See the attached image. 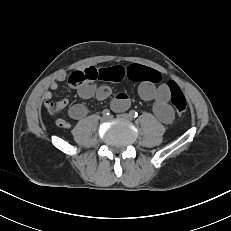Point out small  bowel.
<instances>
[{
	"label": "small bowel",
	"mask_w": 231,
	"mask_h": 231,
	"mask_svg": "<svg viewBox=\"0 0 231 231\" xmlns=\"http://www.w3.org/2000/svg\"><path fill=\"white\" fill-rule=\"evenodd\" d=\"M140 65H132L127 68L123 66L112 67H97L87 66L80 72L84 76V82L78 86V94L83 99H89L95 97L97 100H105L111 94L110 87L104 85L96 87L95 80L104 81H120L125 77H129L133 80L140 82L138 87V93L141 99L144 101H151L153 104V112L156 117L163 123L169 124L174 118L173 109L170 106V91L165 84L156 86L154 83L140 78ZM66 79L65 74H60L57 80L52 81L49 85V89L44 93L45 107L51 111L52 107L56 106L59 109L68 106V99H62L56 103L52 101L53 91L58 89V81H64ZM112 108L115 111H124L130 105L129 97L125 93H119L112 101ZM52 112V111H51ZM88 113L86 106L82 104H75L69 107L68 115L74 120L83 119ZM57 126L61 128H69L71 124L64 120L58 119L56 121Z\"/></svg>",
	"instance_id": "small-bowel-1"
}]
</instances>
